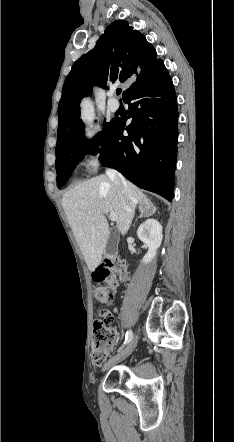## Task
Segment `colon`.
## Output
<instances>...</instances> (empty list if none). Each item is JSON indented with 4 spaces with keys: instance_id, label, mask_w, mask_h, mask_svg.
<instances>
[{
    "instance_id": "5ec220e1",
    "label": "colon",
    "mask_w": 234,
    "mask_h": 442,
    "mask_svg": "<svg viewBox=\"0 0 234 442\" xmlns=\"http://www.w3.org/2000/svg\"><path fill=\"white\" fill-rule=\"evenodd\" d=\"M128 276L127 264L120 259H108L99 265L93 272V278L97 282L104 283L94 291L95 299L103 304H110L117 295L118 278L126 279ZM103 314H110L106 311L99 312L101 319ZM115 331L111 328H95L93 333V360L97 365H101L113 344Z\"/></svg>"
}]
</instances>
